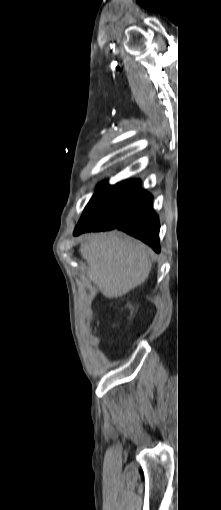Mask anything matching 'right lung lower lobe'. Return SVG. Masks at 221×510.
<instances>
[{"label":"right lung lower lobe","instance_id":"obj_1","mask_svg":"<svg viewBox=\"0 0 221 510\" xmlns=\"http://www.w3.org/2000/svg\"><path fill=\"white\" fill-rule=\"evenodd\" d=\"M113 228L142 240L156 252L160 251L158 216L152 209V196L140 189L139 180L136 181L125 209L118 219L103 218L87 205L74 235Z\"/></svg>","mask_w":221,"mask_h":510}]
</instances>
